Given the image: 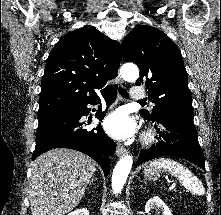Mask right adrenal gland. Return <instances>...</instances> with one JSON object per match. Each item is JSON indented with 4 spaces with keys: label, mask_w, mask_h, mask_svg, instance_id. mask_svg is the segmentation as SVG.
I'll return each mask as SVG.
<instances>
[{
    "label": "right adrenal gland",
    "mask_w": 221,
    "mask_h": 215,
    "mask_svg": "<svg viewBox=\"0 0 221 215\" xmlns=\"http://www.w3.org/2000/svg\"><path fill=\"white\" fill-rule=\"evenodd\" d=\"M96 180H97V178L94 176V177L90 180L89 184L91 185V183H92L93 181H96Z\"/></svg>",
    "instance_id": "obj_1"
}]
</instances>
